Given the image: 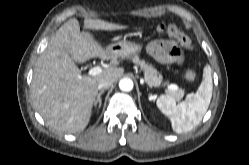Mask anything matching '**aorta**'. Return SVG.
Segmentation results:
<instances>
[{"instance_id": "1", "label": "aorta", "mask_w": 249, "mask_h": 165, "mask_svg": "<svg viewBox=\"0 0 249 165\" xmlns=\"http://www.w3.org/2000/svg\"><path fill=\"white\" fill-rule=\"evenodd\" d=\"M133 87H134V84L130 78H122L119 81V88L122 91H131Z\"/></svg>"}]
</instances>
